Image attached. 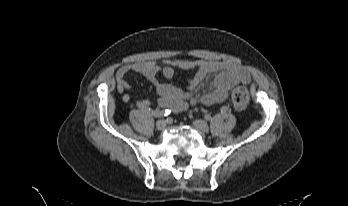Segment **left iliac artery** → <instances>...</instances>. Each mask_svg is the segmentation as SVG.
I'll use <instances>...</instances> for the list:
<instances>
[{
	"mask_svg": "<svg viewBox=\"0 0 348 206\" xmlns=\"http://www.w3.org/2000/svg\"><path fill=\"white\" fill-rule=\"evenodd\" d=\"M229 111V107L228 106H222V112H227Z\"/></svg>",
	"mask_w": 348,
	"mask_h": 206,
	"instance_id": "1",
	"label": "left iliac artery"
}]
</instances>
